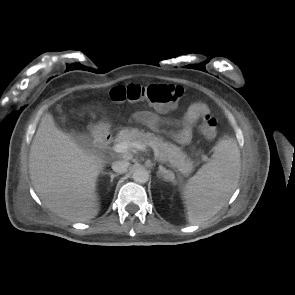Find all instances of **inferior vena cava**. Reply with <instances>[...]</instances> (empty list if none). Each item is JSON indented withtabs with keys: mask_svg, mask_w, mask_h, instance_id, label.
<instances>
[{
	"mask_svg": "<svg viewBox=\"0 0 295 295\" xmlns=\"http://www.w3.org/2000/svg\"><path fill=\"white\" fill-rule=\"evenodd\" d=\"M129 167V162L127 160H119L112 163L113 171L123 174L127 171Z\"/></svg>",
	"mask_w": 295,
	"mask_h": 295,
	"instance_id": "1",
	"label": "inferior vena cava"
}]
</instances>
